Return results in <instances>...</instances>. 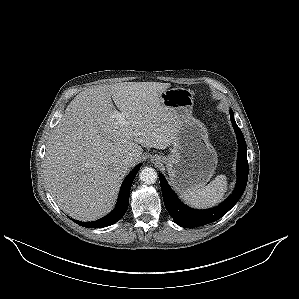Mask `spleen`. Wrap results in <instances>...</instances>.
<instances>
[{"label":"spleen","mask_w":299,"mask_h":299,"mask_svg":"<svg viewBox=\"0 0 299 299\" xmlns=\"http://www.w3.org/2000/svg\"><path fill=\"white\" fill-rule=\"evenodd\" d=\"M227 190V178L218 175L207 186L185 190L181 192V198L189 205L196 208L212 207L221 202Z\"/></svg>","instance_id":"3e777b00"}]
</instances>
